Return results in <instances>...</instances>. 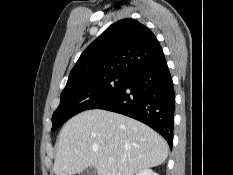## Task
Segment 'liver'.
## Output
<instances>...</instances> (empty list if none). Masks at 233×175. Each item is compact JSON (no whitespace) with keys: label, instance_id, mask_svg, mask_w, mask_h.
<instances>
[{"label":"liver","instance_id":"6515ba94","mask_svg":"<svg viewBox=\"0 0 233 175\" xmlns=\"http://www.w3.org/2000/svg\"><path fill=\"white\" fill-rule=\"evenodd\" d=\"M166 141L147 125L122 114L93 109L72 117L59 133L56 175L93 166L98 175H134L162 164ZM114 162L109 163L108 159Z\"/></svg>","mask_w":233,"mask_h":175}]
</instances>
